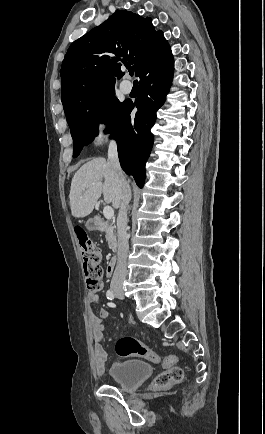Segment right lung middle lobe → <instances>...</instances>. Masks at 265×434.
<instances>
[{"mask_svg": "<svg viewBox=\"0 0 265 434\" xmlns=\"http://www.w3.org/2000/svg\"><path fill=\"white\" fill-rule=\"evenodd\" d=\"M111 84L74 100L62 102L73 138V157L98 134V122H107L116 129L122 122L131 101L120 102Z\"/></svg>", "mask_w": 265, "mask_h": 434, "instance_id": "dd1d6c3e", "label": "right lung middle lobe"}]
</instances>
